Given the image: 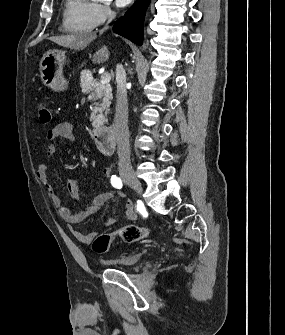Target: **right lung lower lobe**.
Returning a JSON list of instances; mask_svg holds the SVG:
<instances>
[{
  "mask_svg": "<svg viewBox=\"0 0 285 335\" xmlns=\"http://www.w3.org/2000/svg\"><path fill=\"white\" fill-rule=\"evenodd\" d=\"M150 1L137 0L135 6L114 24V32L137 45H142L144 16Z\"/></svg>",
  "mask_w": 285,
  "mask_h": 335,
  "instance_id": "98d812e1",
  "label": "right lung lower lobe"
}]
</instances>
